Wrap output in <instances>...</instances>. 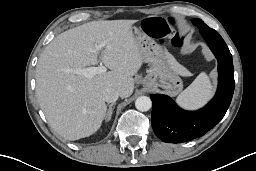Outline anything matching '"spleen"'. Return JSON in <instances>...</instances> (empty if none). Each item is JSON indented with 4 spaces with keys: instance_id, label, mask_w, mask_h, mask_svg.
Listing matches in <instances>:
<instances>
[{
    "instance_id": "3e777b00",
    "label": "spleen",
    "mask_w": 256,
    "mask_h": 171,
    "mask_svg": "<svg viewBox=\"0 0 256 171\" xmlns=\"http://www.w3.org/2000/svg\"><path fill=\"white\" fill-rule=\"evenodd\" d=\"M213 92V86L209 77L200 73L196 79L178 97L177 102L187 108H195L207 101Z\"/></svg>"
}]
</instances>
